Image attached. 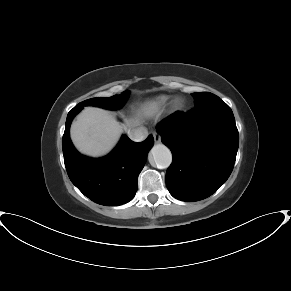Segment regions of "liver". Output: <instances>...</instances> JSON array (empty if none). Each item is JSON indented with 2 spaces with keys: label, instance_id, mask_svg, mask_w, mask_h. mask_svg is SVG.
<instances>
[{
  "label": "liver",
  "instance_id": "liver-1",
  "mask_svg": "<svg viewBox=\"0 0 291 291\" xmlns=\"http://www.w3.org/2000/svg\"><path fill=\"white\" fill-rule=\"evenodd\" d=\"M138 121L120 125L106 110L86 107L71 125L70 135L75 147L83 154L99 157L108 153L127 126H136Z\"/></svg>",
  "mask_w": 291,
  "mask_h": 291
}]
</instances>
